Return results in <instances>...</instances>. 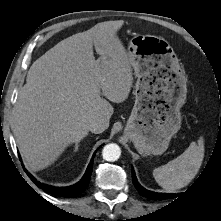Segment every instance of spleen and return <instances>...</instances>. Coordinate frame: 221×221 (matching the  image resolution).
Masks as SVG:
<instances>
[{"mask_svg": "<svg viewBox=\"0 0 221 221\" xmlns=\"http://www.w3.org/2000/svg\"><path fill=\"white\" fill-rule=\"evenodd\" d=\"M204 158V139L192 142L177 158L155 168L156 182L167 192H174L187 186L197 175Z\"/></svg>", "mask_w": 221, "mask_h": 221, "instance_id": "1", "label": "spleen"}]
</instances>
